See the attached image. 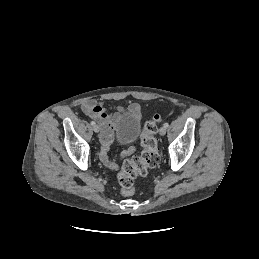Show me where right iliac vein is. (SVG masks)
<instances>
[{"mask_svg":"<svg viewBox=\"0 0 259 259\" xmlns=\"http://www.w3.org/2000/svg\"><path fill=\"white\" fill-rule=\"evenodd\" d=\"M93 130H94V132L98 133L100 130V127L98 125H94Z\"/></svg>","mask_w":259,"mask_h":259,"instance_id":"1","label":"right iliac vein"}]
</instances>
